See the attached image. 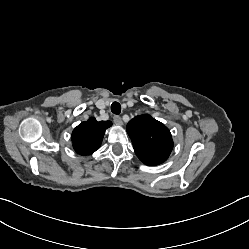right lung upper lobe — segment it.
I'll return each mask as SVG.
<instances>
[{"mask_svg": "<svg viewBox=\"0 0 249 249\" xmlns=\"http://www.w3.org/2000/svg\"><path fill=\"white\" fill-rule=\"evenodd\" d=\"M111 125V121L98 122L94 117L79 124L71 136L74 150L80 155H90L98 150L105 130Z\"/></svg>", "mask_w": 249, "mask_h": 249, "instance_id": "1", "label": "right lung upper lobe"}]
</instances>
